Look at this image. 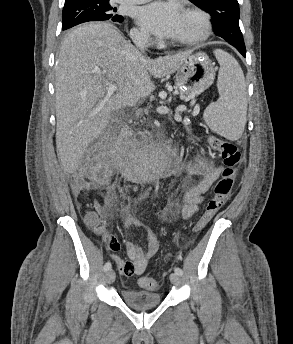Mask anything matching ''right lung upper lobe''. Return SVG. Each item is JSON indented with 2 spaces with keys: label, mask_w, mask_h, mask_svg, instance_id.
Instances as JSON below:
<instances>
[{
  "label": "right lung upper lobe",
  "mask_w": 293,
  "mask_h": 344,
  "mask_svg": "<svg viewBox=\"0 0 293 344\" xmlns=\"http://www.w3.org/2000/svg\"><path fill=\"white\" fill-rule=\"evenodd\" d=\"M74 1H77V0H65V3L74 2Z\"/></svg>",
  "instance_id": "cb5924a9"
}]
</instances>
